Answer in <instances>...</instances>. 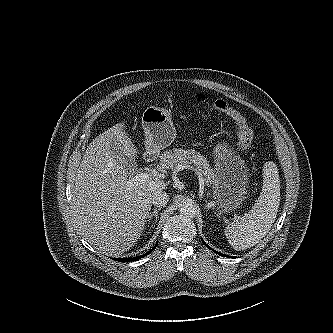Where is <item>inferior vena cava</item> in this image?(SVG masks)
<instances>
[{
    "label": "inferior vena cava",
    "instance_id": "602c4592",
    "mask_svg": "<svg viewBox=\"0 0 333 333\" xmlns=\"http://www.w3.org/2000/svg\"><path fill=\"white\" fill-rule=\"evenodd\" d=\"M169 201V196L166 192L157 191L152 196V203L155 206H165Z\"/></svg>",
    "mask_w": 333,
    "mask_h": 333
}]
</instances>
